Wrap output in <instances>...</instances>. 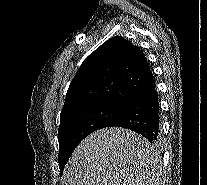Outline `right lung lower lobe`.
<instances>
[{"instance_id": "98d812e1", "label": "right lung lower lobe", "mask_w": 207, "mask_h": 185, "mask_svg": "<svg viewBox=\"0 0 207 185\" xmlns=\"http://www.w3.org/2000/svg\"><path fill=\"white\" fill-rule=\"evenodd\" d=\"M123 127L144 136L152 144L160 143V106L155 82L133 96L106 127Z\"/></svg>"}]
</instances>
